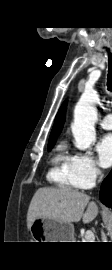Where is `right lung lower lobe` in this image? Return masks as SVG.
I'll use <instances>...</instances> for the list:
<instances>
[{
    "instance_id": "98d812e1",
    "label": "right lung lower lobe",
    "mask_w": 112,
    "mask_h": 270,
    "mask_svg": "<svg viewBox=\"0 0 112 270\" xmlns=\"http://www.w3.org/2000/svg\"><path fill=\"white\" fill-rule=\"evenodd\" d=\"M100 200L103 204L112 208V170L101 185Z\"/></svg>"
}]
</instances>
